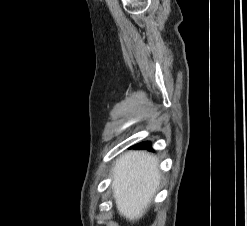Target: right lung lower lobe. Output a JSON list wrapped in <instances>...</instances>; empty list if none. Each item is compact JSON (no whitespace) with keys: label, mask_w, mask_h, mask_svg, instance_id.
I'll use <instances>...</instances> for the list:
<instances>
[{"label":"right lung lower lobe","mask_w":247,"mask_h":226,"mask_svg":"<svg viewBox=\"0 0 247 226\" xmlns=\"http://www.w3.org/2000/svg\"><path fill=\"white\" fill-rule=\"evenodd\" d=\"M134 148H139V149H143V148H147L148 150H151V143L150 142H142L138 145H136Z\"/></svg>","instance_id":"98d812e1"}]
</instances>
